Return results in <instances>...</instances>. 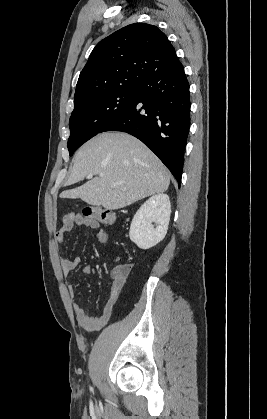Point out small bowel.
Masks as SVG:
<instances>
[{
	"label": "small bowel",
	"instance_id": "1",
	"mask_svg": "<svg viewBox=\"0 0 267 419\" xmlns=\"http://www.w3.org/2000/svg\"><path fill=\"white\" fill-rule=\"evenodd\" d=\"M75 227H87L91 229H97L99 223L96 221L84 217L80 213L71 212L66 214L62 219V226L56 233V240L59 243H63L65 235L71 232ZM97 240L103 246H106L109 240L108 233L99 229L97 232ZM80 263L79 257L73 258H64L62 260V273L64 276H68L73 270H75ZM92 272L91 266L87 265L82 268V274L89 275ZM129 270L124 274H118L113 270L110 274L112 282L109 292V297L106 300L102 312L98 316L89 314L78 302L73 301V309L76 314L77 322L80 326L88 330H98L107 324L109 319L112 316L114 306L118 300V297L125 285L126 279L128 277ZM69 293L72 298H74L76 293V286L71 285L68 288Z\"/></svg>",
	"mask_w": 267,
	"mask_h": 419
}]
</instances>
